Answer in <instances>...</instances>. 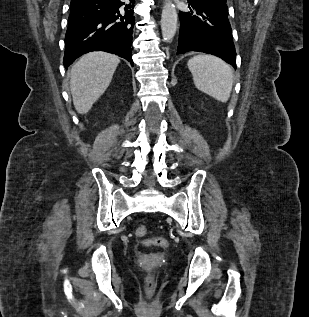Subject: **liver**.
<instances>
[{"instance_id": "liver-1", "label": "liver", "mask_w": 309, "mask_h": 317, "mask_svg": "<svg viewBox=\"0 0 309 317\" xmlns=\"http://www.w3.org/2000/svg\"><path fill=\"white\" fill-rule=\"evenodd\" d=\"M120 62L119 57L105 52L83 55L73 66L70 89L79 114H86L108 88Z\"/></svg>"}]
</instances>
